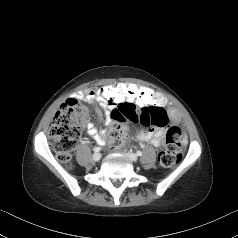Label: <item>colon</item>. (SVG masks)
<instances>
[{
  "label": "colon",
  "mask_w": 238,
  "mask_h": 238,
  "mask_svg": "<svg viewBox=\"0 0 238 238\" xmlns=\"http://www.w3.org/2000/svg\"><path fill=\"white\" fill-rule=\"evenodd\" d=\"M97 95L103 102H125L111 112V118L116 123L110 131L113 148L119 147L124 141L126 128L123 124L126 120L161 129L170 127L165 146L159 154V162L163 167H171L180 162L184 138L179 127L170 126V117L163 109L168 104L165 95L157 91L150 92L134 83L102 85L98 88ZM83 113L84 109L78 101L67 100L55 114L50 127L51 147L57 159L67 166L71 165V153L81 133L79 120Z\"/></svg>",
  "instance_id": "5ec220e1"
}]
</instances>
